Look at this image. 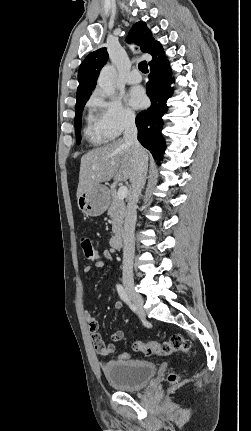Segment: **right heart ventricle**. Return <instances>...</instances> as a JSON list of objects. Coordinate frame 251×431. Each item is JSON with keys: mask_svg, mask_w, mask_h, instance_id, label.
Listing matches in <instances>:
<instances>
[{"mask_svg": "<svg viewBox=\"0 0 251 431\" xmlns=\"http://www.w3.org/2000/svg\"><path fill=\"white\" fill-rule=\"evenodd\" d=\"M86 134H87L89 137H91L92 139L99 140V141L104 140V138H103V137H101V136L96 132V130H95V128H94V126H93V124H92V120H91V118H89V124H88V127L86 128Z\"/></svg>", "mask_w": 251, "mask_h": 431, "instance_id": "right-heart-ventricle-1", "label": "right heart ventricle"}]
</instances>
